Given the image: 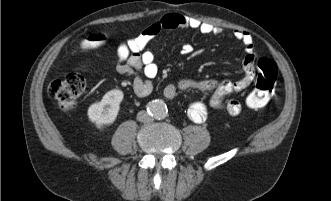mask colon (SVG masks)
Returning a JSON list of instances; mask_svg holds the SVG:
<instances>
[{"mask_svg":"<svg viewBox=\"0 0 331 201\" xmlns=\"http://www.w3.org/2000/svg\"><path fill=\"white\" fill-rule=\"evenodd\" d=\"M106 37L94 34L85 40L86 48H97L104 44ZM258 75L254 90L247 96L246 104L249 108L264 107L271 100L277 84L278 68L276 63L267 57L257 62ZM85 89V79L80 71H72L62 79H57L49 85V94L64 110L76 107L80 96Z\"/></svg>","mask_w":331,"mask_h":201,"instance_id":"5ec220e1","label":"colon"}]
</instances>
